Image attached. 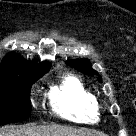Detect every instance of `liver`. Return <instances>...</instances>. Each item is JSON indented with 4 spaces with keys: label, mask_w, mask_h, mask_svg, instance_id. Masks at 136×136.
Segmentation results:
<instances>
[{
    "label": "liver",
    "mask_w": 136,
    "mask_h": 136,
    "mask_svg": "<svg viewBox=\"0 0 136 136\" xmlns=\"http://www.w3.org/2000/svg\"><path fill=\"white\" fill-rule=\"evenodd\" d=\"M0 136H93L90 132L61 125L8 126L0 131Z\"/></svg>",
    "instance_id": "obj_1"
}]
</instances>
